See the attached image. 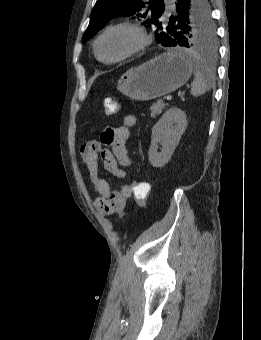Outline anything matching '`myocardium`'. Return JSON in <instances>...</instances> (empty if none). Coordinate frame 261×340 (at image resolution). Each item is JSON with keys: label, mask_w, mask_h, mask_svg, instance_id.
<instances>
[{"label": "myocardium", "mask_w": 261, "mask_h": 340, "mask_svg": "<svg viewBox=\"0 0 261 340\" xmlns=\"http://www.w3.org/2000/svg\"><path fill=\"white\" fill-rule=\"evenodd\" d=\"M120 27H126V28H129V29L136 32V34L138 36L137 45L133 49H131L130 51H128L127 53H125V54H123L119 57H116V58H113V59L102 58L99 54V43H100L101 39L109 31L116 29V28H120ZM149 42H150L149 34H148L146 28L142 24H140L139 22L133 21V20H121V21H118L116 23H113V24L107 26L97 36V38L94 42V53H95L96 57L101 62L107 63V64H112V63H116V62L126 60V59L138 54L139 52H141L142 50H144L147 47Z\"/></svg>", "instance_id": "1"}]
</instances>
